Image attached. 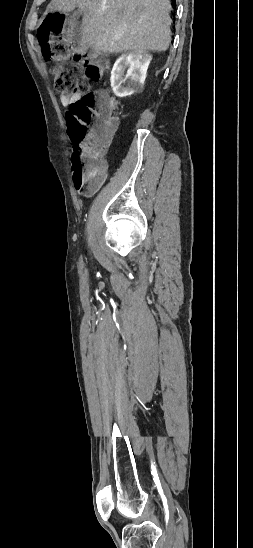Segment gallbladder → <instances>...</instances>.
Segmentation results:
<instances>
[{
    "label": "gallbladder",
    "instance_id": "obj_1",
    "mask_svg": "<svg viewBox=\"0 0 253 548\" xmlns=\"http://www.w3.org/2000/svg\"><path fill=\"white\" fill-rule=\"evenodd\" d=\"M82 14L81 11H74L73 15L79 17Z\"/></svg>",
    "mask_w": 253,
    "mask_h": 548
}]
</instances>
